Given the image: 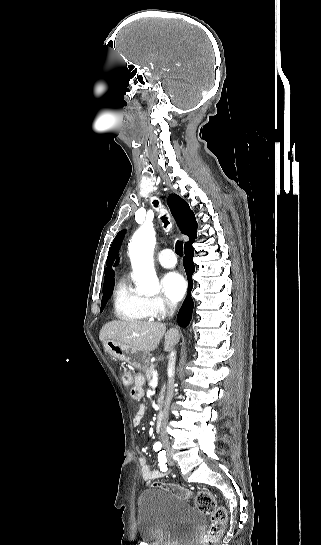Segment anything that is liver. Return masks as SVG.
<instances>
[{"mask_svg": "<svg viewBox=\"0 0 321 545\" xmlns=\"http://www.w3.org/2000/svg\"><path fill=\"white\" fill-rule=\"evenodd\" d=\"M162 337L165 339L164 351H172L174 345L178 343V331L176 329L166 331L163 323L110 321V323L103 325L99 333L100 341L110 339V341H117V343L134 347L138 351H154V349H157Z\"/></svg>", "mask_w": 321, "mask_h": 545, "instance_id": "1", "label": "liver"}]
</instances>
